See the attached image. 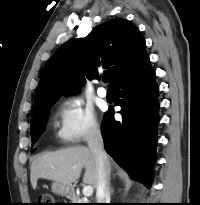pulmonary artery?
I'll return each instance as SVG.
<instances>
[{
	"mask_svg": "<svg viewBox=\"0 0 200 205\" xmlns=\"http://www.w3.org/2000/svg\"><path fill=\"white\" fill-rule=\"evenodd\" d=\"M97 94L101 98H105L107 96V90L104 87H99L97 89Z\"/></svg>",
	"mask_w": 200,
	"mask_h": 205,
	"instance_id": "obj_1",
	"label": "pulmonary artery"
}]
</instances>
